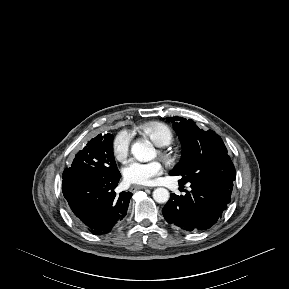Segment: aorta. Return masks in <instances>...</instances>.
<instances>
[{"instance_id": "aorta-1", "label": "aorta", "mask_w": 289, "mask_h": 289, "mask_svg": "<svg viewBox=\"0 0 289 289\" xmlns=\"http://www.w3.org/2000/svg\"><path fill=\"white\" fill-rule=\"evenodd\" d=\"M132 154L139 159L149 161L154 156L153 146L148 141H137L131 147ZM169 191L165 188H156L153 191V199L157 203H166L169 200Z\"/></svg>"}]
</instances>
